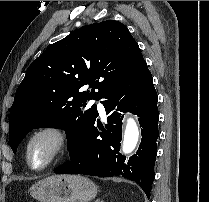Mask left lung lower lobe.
Listing matches in <instances>:
<instances>
[{
	"label": "left lung lower lobe",
	"instance_id": "0a47b994",
	"mask_svg": "<svg viewBox=\"0 0 209 202\" xmlns=\"http://www.w3.org/2000/svg\"><path fill=\"white\" fill-rule=\"evenodd\" d=\"M102 104L108 124L100 127L96 108L95 117L80 142L70 148V161L54 170L55 173L121 176L140 185L150 198L157 155V93L146 62L109 90ZM138 115L142 140L136 154L129 159L120 153L122 139V112Z\"/></svg>",
	"mask_w": 209,
	"mask_h": 202
}]
</instances>
